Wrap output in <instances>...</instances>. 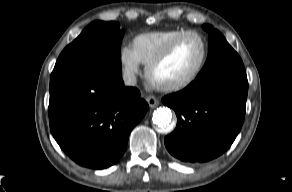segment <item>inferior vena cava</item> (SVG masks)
Returning a JSON list of instances; mask_svg holds the SVG:
<instances>
[{"instance_id": "602c4592", "label": "inferior vena cava", "mask_w": 292, "mask_h": 192, "mask_svg": "<svg viewBox=\"0 0 292 192\" xmlns=\"http://www.w3.org/2000/svg\"><path fill=\"white\" fill-rule=\"evenodd\" d=\"M123 80L125 85L127 86H135L136 85V76L133 73L125 72L123 74Z\"/></svg>"}]
</instances>
